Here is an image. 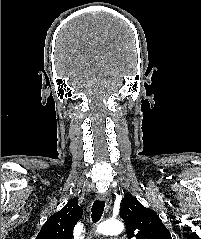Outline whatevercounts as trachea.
I'll list each match as a JSON object with an SVG mask.
<instances>
[{"instance_id":"obj_1","label":"trachea","mask_w":201,"mask_h":239,"mask_svg":"<svg viewBox=\"0 0 201 239\" xmlns=\"http://www.w3.org/2000/svg\"><path fill=\"white\" fill-rule=\"evenodd\" d=\"M104 207H105V202L102 200H95L93 203V206L91 208V217H92V221L93 223H97L103 214L104 211Z\"/></svg>"}]
</instances>
